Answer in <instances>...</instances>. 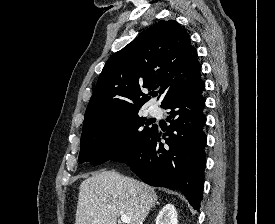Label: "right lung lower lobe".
<instances>
[{
  "mask_svg": "<svg viewBox=\"0 0 275 224\" xmlns=\"http://www.w3.org/2000/svg\"><path fill=\"white\" fill-rule=\"evenodd\" d=\"M204 88L198 75L161 106L170 110V126L165 133L154 126L137 144L112 159L126 163L149 185L180 190L196 210L203 198L206 166V117L202 112L205 99L201 95Z\"/></svg>",
  "mask_w": 275,
  "mask_h": 224,
  "instance_id": "1",
  "label": "right lung lower lobe"
}]
</instances>
